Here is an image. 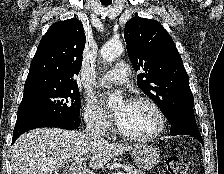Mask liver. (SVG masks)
<instances>
[{
	"mask_svg": "<svg viewBox=\"0 0 224 174\" xmlns=\"http://www.w3.org/2000/svg\"><path fill=\"white\" fill-rule=\"evenodd\" d=\"M138 145L97 142L87 134L59 128H39L22 134L11 153L13 174H49L66 167L76 174L75 158L90 159L92 169L102 168L115 156Z\"/></svg>",
	"mask_w": 224,
	"mask_h": 174,
	"instance_id": "obj_1",
	"label": "liver"
}]
</instances>
